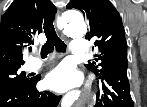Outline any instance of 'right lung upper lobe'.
<instances>
[{
	"mask_svg": "<svg viewBox=\"0 0 147 107\" xmlns=\"http://www.w3.org/2000/svg\"><path fill=\"white\" fill-rule=\"evenodd\" d=\"M57 12L50 0H14L0 24V69L23 65V51L42 32L43 19Z\"/></svg>",
	"mask_w": 147,
	"mask_h": 107,
	"instance_id": "1",
	"label": "right lung upper lobe"
}]
</instances>
